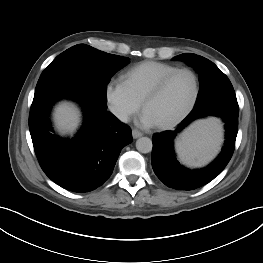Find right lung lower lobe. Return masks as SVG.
Returning a JSON list of instances; mask_svg holds the SVG:
<instances>
[{
	"instance_id": "98d812e1",
	"label": "right lung lower lobe",
	"mask_w": 263,
	"mask_h": 263,
	"mask_svg": "<svg viewBox=\"0 0 263 263\" xmlns=\"http://www.w3.org/2000/svg\"><path fill=\"white\" fill-rule=\"evenodd\" d=\"M62 98L77 101L84 112L83 126L71 140L51 133L49 113ZM29 129L45 174L59 186L78 193L101 186L111 176L121 149L132 142L130 128L108 112L106 105L75 89L33 100Z\"/></svg>"
}]
</instances>
